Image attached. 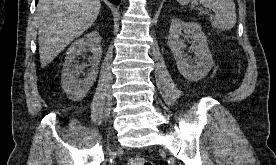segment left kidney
I'll use <instances>...</instances> for the list:
<instances>
[{
  "label": "left kidney",
  "mask_w": 276,
  "mask_h": 165,
  "mask_svg": "<svg viewBox=\"0 0 276 165\" xmlns=\"http://www.w3.org/2000/svg\"><path fill=\"white\" fill-rule=\"evenodd\" d=\"M185 33L192 35V49L195 52V64L188 62L183 55L182 49L185 47L180 35ZM168 46L173 52L177 68L181 75L190 80L198 81L207 76L208 72L214 66L212 54L209 50L207 37L196 22H184L179 18L172 19Z\"/></svg>",
  "instance_id": "1"
}]
</instances>
